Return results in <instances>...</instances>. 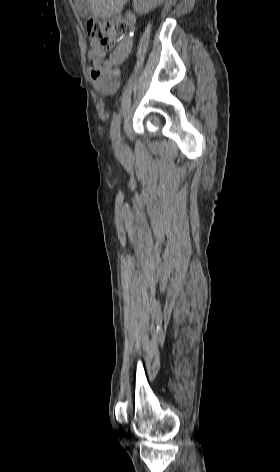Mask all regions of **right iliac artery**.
Returning <instances> with one entry per match:
<instances>
[{
	"mask_svg": "<svg viewBox=\"0 0 280 472\" xmlns=\"http://www.w3.org/2000/svg\"><path fill=\"white\" fill-rule=\"evenodd\" d=\"M111 138L118 149L120 147V114L114 116L111 124Z\"/></svg>",
	"mask_w": 280,
	"mask_h": 472,
	"instance_id": "obj_1",
	"label": "right iliac artery"
}]
</instances>
